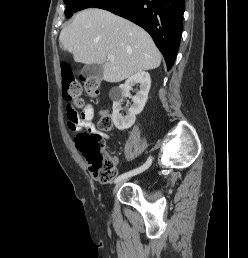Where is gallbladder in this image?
<instances>
[{"mask_svg":"<svg viewBox=\"0 0 248 258\" xmlns=\"http://www.w3.org/2000/svg\"><path fill=\"white\" fill-rule=\"evenodd\" d=\"M81 73L86 78H97L101 79L103 76V65L102 64H86Z\"/></svg>","mask_w":248,"mask_h":258,"instance_id":"gallbladder-1","label":"gallbladder"}]
</instances>
